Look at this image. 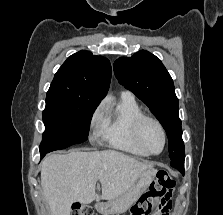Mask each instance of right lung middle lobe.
<instances>
[{"label":"right lung middle lobe","mask_w":223,"mask_h":215,"mask_svg":"<svg viewBox=\"0 0 223 215\" xmlns=\"http://www.w3.org/2000/svg\"><path fill=\"white\" fill-rule=\"evenodd\" d=\"M97 105L46 102L42 113L45 132L40 154L67 148L87 140Z\"/></svg>","instance_id":"1"}]
</instances>
